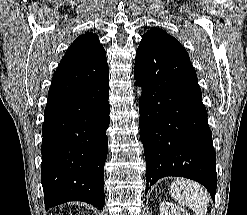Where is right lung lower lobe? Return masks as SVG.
<instances>
[{
  "instance_id": "98d812e1",
  "label": "right lung lower lobe",
  "mask_w": 247,
  "mask_h": 215,
  "mask_svg": "<svg viewBox=\"0 0 247 215\" xmlns=\"http://www.w3.org/2000/svg\"><path fill=\"white\" fill-rule=\"evenodd\" d=\"M109 68L105 50L86 59H62L44 111L41 182L45 208L84 201L105 204Z\"/></svg>"
}]
</instances>
